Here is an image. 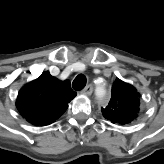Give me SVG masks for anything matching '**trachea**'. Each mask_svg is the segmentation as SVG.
<instances>
[{
    "mask_svg": "<svg viewBox=\"0 0 164 164\" xmlns=\"http://www.w3.org/2000/svg\"><path fill=\"white\" fill-rule=\"evenodd\" d=\"M86 77L83 74H79L73 81L72 87L74 90H82L86 85Z\"/></svg>",
    "mask_w": 164,
    "mask_h": 164,
    "instance_id": "3493384b",
    "label": "trachea"
}]
</instances>
